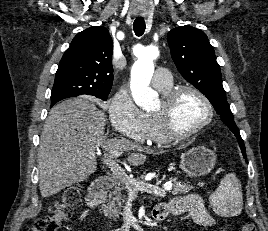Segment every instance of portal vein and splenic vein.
<instances>
[{
	"instance_id": "portal-vein-and-splenic-vein-1",
	"label": "portal vein and splenic vein",
	"mask_w": 268,
	"mask_h": 231,
	"mask_svg": "<svg viewBox=\"0 0 268 231\" xmlns=\"http://www.w3.org/2000/svg\"><path fill=\"white\" fill-rule=\"evenodd\" d=\"M115 155L104 154L102 161L118 179L126 184L130 192L143 191L149 194H154L155 196H166V190H169V186L162 189L158 186V184L154 185L130 178L126 174L125 170L114 160Z\"/></svg>"
}]
</instances>
